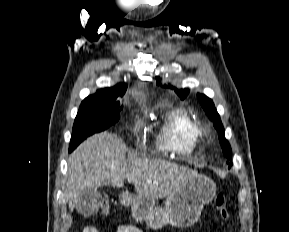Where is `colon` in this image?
<instances>
[{"mask_svg":"<svg viewBox=\"0 0 289 232\" xmlns=\"http://www.w3.org/2000/svg\"><path fill=\"white\" fill-rule=\"evenodd\" d=\"M214 205L217 209L220 217L227 223H230V214L227 208V200L223 194H217L214 198ZM100 211L102 214L109 213V204L106 200H104L101 204Z\"/></svg>","mask_w":289,"mask_h":232,"instance_id":"5ec220e1","label":"colon"}]
</instances>
